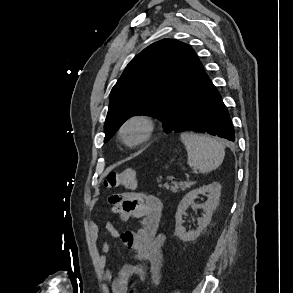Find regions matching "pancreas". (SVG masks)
<instances>
[{
	"mask_svg": "<svg viewBox=\"0 0 293 293\" xmlns=\"http://www.w3.org/2000/svg\"><path fill=\"white\" fill-rule=\"evenodd\" d=\"M191 185L192 183H188V182H185V183L173 182L172 184L165 183L164 188L172 191L173 193H177L180 191H185L187 188H190Z\"/></svg>",
	"mask_w": 293,
	"mask_h": 293,
	"instance_id": "1",
	"label": "pancreas"
}]
</instances>
